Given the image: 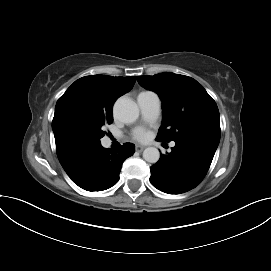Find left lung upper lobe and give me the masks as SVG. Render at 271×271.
Here are the masks:
<instances>
[{
  "label": "left lung upper lobe",
  "instance_id": "5c2ea615",
  "mask_svg": "<svg viewBox=\"0 0 271 271\" xmlns=\"http://www.w3.org/2000/svg\"><path fill=\"white\" fill-rule=\"evenodd\" d=\"M145 89L156 92L162 100V126L157 140L170 142L196 138L219 144V110L215 101L195 79L174 74L138 76Z\"/></svg>",
  "mask_w": 271,
  "mask_h": 271
}]
</instances>
